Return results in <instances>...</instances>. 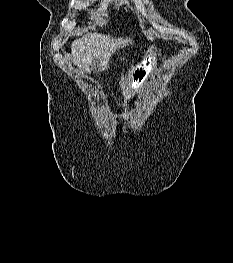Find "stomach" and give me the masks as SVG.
Masks as SVG:
<instances>
[{
    "mask_svg": "<svg viewBox=\"0 0 233 263\" xmlns=\"http://www.w3.org/2000/svg\"><path fill=\"white\" fill-rule=\"evenodd\" d=\"M157 73V51L154 45L148 47L142 61L138 63L133 77H112V82H122V90L137 91L144 88ZM128 82V83H126Z\"/></svg>",
    "mask_w": 233,
    "mask_h": 263,
    "instance_id": "stomach-1",
    "label": "stomach"
}]
</instances>
